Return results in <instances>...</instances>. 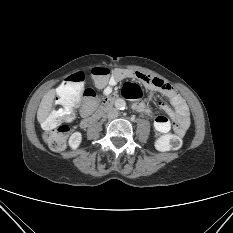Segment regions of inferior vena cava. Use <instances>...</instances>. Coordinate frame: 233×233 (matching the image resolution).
Masks as SVG:
<instances>
[{"label": "inferior vena cava", "instance_id": "obj_1", "mask_svg": "<svg viewBox=\"0 0 233 233\" xmlns=\"http://www.w3.org/2000/svg\"><path fill=\"white\" fill-rule=\"evenodd\" d=\"M118 115H119V113H118L117 109H115V108L110 109L108 111V114H107L109 119H115L118 117Z\"/></svg>", "mask_w": 233, "mask_h": 233}]
</instances>
